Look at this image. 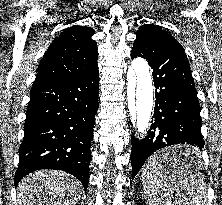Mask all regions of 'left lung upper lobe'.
I'll list each match as a JSON object with an SVG mask.
<instances>
[{"mask_svg":"<svg viewBox=\"0 0 222 205\" xmlns=\"http://www.w3.org/2000/svg\"><path fill=\"white\" fill-rule=\"evenodd\" d=\"M137 37H147L151 39H169L177 42L168 32L162 30L158 25L145 24L141 26L136 34Z\"/></svg>","mask_w":222,"mask_h":205,"instance_id":"left-lung-upper-lobe-1","label":"left lung upper lobe"}]
</instances>
